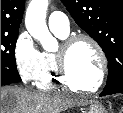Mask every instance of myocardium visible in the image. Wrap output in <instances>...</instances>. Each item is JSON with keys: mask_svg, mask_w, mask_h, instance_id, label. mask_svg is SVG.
I'll return each instance as SVG.
<instances>
[{"mask_svg": "<svg viewBox=\"0 0 123 113\" xmlns=\"http://www.w3.org/2000/svg\"><path fill=\"white\" fill-rule=\"evenodd\" d=\"M80 41H86L90 43L94 47L95 51L97 52V55L100 60V69H99L98 78L95 84L89 88H84L74 83L69 76V72L67 68L68 54L70 50L73 48V46ZM55 60H56L57 71L62 83L69 89L77 91L79 93H84V94L95 93L103 85L107 77L108 60H107L106 53L102 48V46L100 45V43L94 37L88 34H75L64 38L59 50L55 53Z\"/></svg>", "mask_w": 123, "mask_h": 113, "instance_id": "myocardium-1", "label": "myocardium"}]
</instances>
